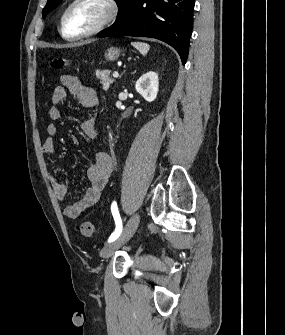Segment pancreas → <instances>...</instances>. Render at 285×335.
<instances>
[{"mask_svg": "<svg viewBox=\"0 0 285 335\" xmlns=\"http://www.w3.org/2000/svg\"><path fill=\"white\" fill-rule=\"evenodd\" d=\"M96 78L100 80L101 86H103V90L107 92L110 84H113V78H110L109 70H96Z\"/></svg>", "mask_w": 285, "mask_h": 335, "instance_id": "1", "label": "pancreas"}]
</instances>
